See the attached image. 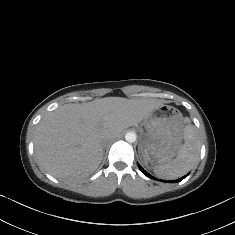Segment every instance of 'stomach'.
I'll use <instances>...</instances> for the list:
<instances>
[{
	"mask_svg": "<svg viewBox=\"0 0 235 235\" xmlns=\"http://www.w3.org/2000/svg\"><path fill=\"white\" fill-rule=\"evenodd\" d=\"M146 132H141L139 156L146 168L152 169L171 161L182 148L185 121L175 107L162 105L144 119Z\"/></svg>",
	"mask_w": 235,
	"mask_h": 235,
	"instance_id": "1",
	"label": "stomach"
}]
</instances>
